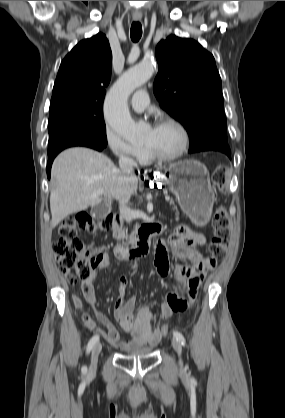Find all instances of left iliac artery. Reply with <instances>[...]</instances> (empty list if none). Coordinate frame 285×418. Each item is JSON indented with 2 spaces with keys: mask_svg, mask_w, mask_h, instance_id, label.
<instances>
[{
  "mask_svg": "<svg viewBox=\"0 0 285 418\" xmlns=\"http://www.w3.org/2000/svg\"><path fill=\"white\" fill-rule=\"evenodd\" d=\"M173 336H174L175 339H177L179 342H181L182 345L186 344V340H185L183 334L180 333L179 331H174Z\"/></svg>",
  "mask_w": 285,
  "mask_h": 418,
  "instance_id": "44dca946",
  "label": "left iliac artery"
}]
</instances>
